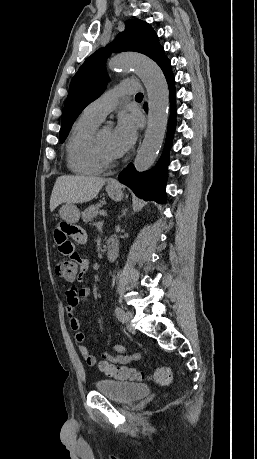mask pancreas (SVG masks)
<instances>
[{
    "label": "pancreas",
    "mask_w": 257,
    "mask_h": 459,
    "mask_svg": "<svg viewBox=\"0 0 257 459\" xmlns=\"http://www.w3.org/2000/svg\"><path fill=\"white\" fill-rule=\"evenodd\" d=\"M104 204V202H100L94 205L89 206L86 210L82 213V218L84 222H90L93 218L97 216L100 212V207Z\"/></svg>",
    "instance_id": "1"
}]
</instances>
